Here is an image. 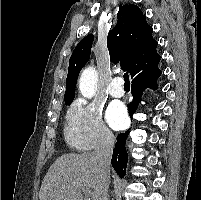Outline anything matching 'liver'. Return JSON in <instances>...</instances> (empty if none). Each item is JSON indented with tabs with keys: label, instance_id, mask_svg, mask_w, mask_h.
Instances as JSON below:
<instances>
[{
	"label": "liver",
	"instance_id": "liver-1",
	"mask_svg": "<svg viewBox=\"0 0 201 200\" xmlns=\"http://www.w3.org/2000/svg\"><path fill=\"white\" fill-rule=\"evenodd\" d=\"M101 172L94 153L64 154L56 159L45 175L39 200H83L86 187L96 200Z\"/></svg>",
	"mask_w": 201,
	"mask_h": 200
}]
</instances>
